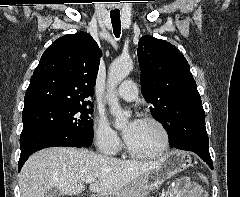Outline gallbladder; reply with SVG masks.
Masks as SVG:
<instances>
[{
	"instance_id": "obj_1",
	"label": "gallbladder",
	"mask_w": 240,
	"mask_h": 197,
	"mask_svg": "<svg viewBox=\"0 0 240 197\" xmlns=\"http://www.w3.org/2000/svg\"><path fill=\"white\" fill-rule=\"evenodd\" d=\"M62 193L58 189H51L46 192L45 197H61Z\"/></svg>"
}]
</instances>
